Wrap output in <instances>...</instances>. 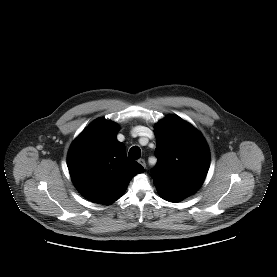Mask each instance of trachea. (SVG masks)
<instances>
[{
    "label": "trachea",
    "instance_id": "trachea-1",
    "mask_svg": "<svg viewBox=\"0 0 277 277\" xmlns=\"http://www.w3.org/2000/svg\"><path fill=\"white\" fill-rule=\"evenodd\" d=\"M128 156L131 159H139L141 157V150L139 147L137 146H133L128 153Z\"/></svg>",
    "mask_w": 277,
    "mask_h": 277
}]
</instances>
